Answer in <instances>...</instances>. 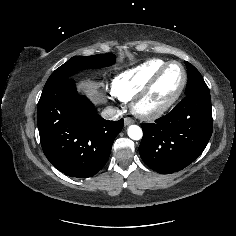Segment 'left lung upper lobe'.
<instances>
[{
	"label": "left lung upper lobe",
	"instance_id": "obj_1",
	"mask_svg": "<svg viewBox=\"0 0 236 236\" xmlns=\"http://www.w3.org/2000/svg\"><path fill=\"white\" fill-rule=\"evenodd\" d=\"M188 82L185 94L188 95L192 92L199 90H209L200 72L189 62H186Z\"/></svg>",
	"mask_w": 236,
	"mask_h": 236
}]
</instances>
